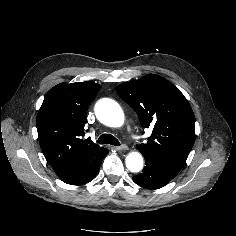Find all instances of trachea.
I'll use <instances>...</instances> for the list:
<instances>
[{"label": "trachea", "mask_w": 236, "mask_h": 236, "mask_svg": "<svg viewBox=\"0 0 236 236\" xmlns=\"http://www.w3.org/2000/svg\"><path fill=\"white\" fill-rule=\"evenodd\" d=\"M97 142L102 143V144H111V145H115V146L120 145L119 141L111 134H102L98 138Z\"/></svg>", "instance_id": "trachea-1"}]
</instances>
